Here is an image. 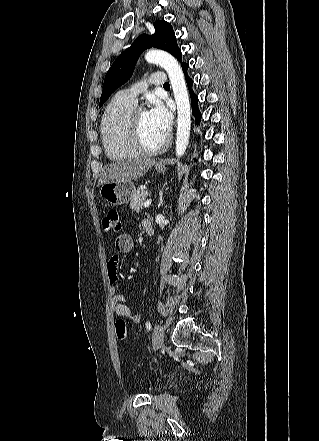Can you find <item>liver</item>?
Returning <instances> with one entry per match:
<instances>
[{"label": "liver", "mask_w": 319, "mask_h": 441, "mask_svg": "<svg viewBox=\"0 0 319 441\" xmlns=\"http://www.w3.org/2000/svg\"><path fill=\"white\" fill-rule=\"evenodd\" d=\"M154 159H131L118 161L106 167L98 186L112 181H131L142 177L154 164Z\"/></svg>", "instance_id": "6515ba94"}]
</instances>
